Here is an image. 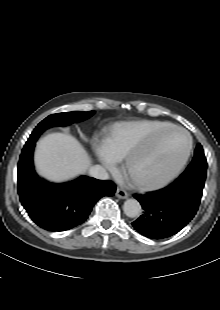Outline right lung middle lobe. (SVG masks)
Instances as JSON below:
<instances>
[{
	"label": "right lung middle lobe",
	"instance_id": "1",
	"mask_svg": "<svg viewBox=\"0 0 220 310\" xmlns=\"http://www.w3.org/2000/svg\"><path fill=\"white\" fill-rule=\"evenodd\" d=\"M94 114V111L89 112H66V113H57L48 116L42 122H40L37 127L32 132L30 138L38 139L39 135L49 127L53 126H66L74 122L83 121L88 119Z\"/></svg>",
	"mask_w": 220,
	"mask_h": 310
}]
</instances>
